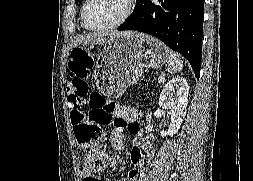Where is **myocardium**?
Here are the masks:
<instances>
[{"mask_svg": "<svg viewBox=\"0 0 253 181\" xmlns=\"http://www.w3.org/2000/svg\"><path fill=\"white\" fill-rule=\"evenodd\" d=\"M92 0H85L83 7H82V11H81V24L82 26L89 30V31H106V30H110V29H114L117 28L119 26H121L122 24H124L132 15L133 11H134V7H135V0H127V8L125 13L123 14V16L121 18H119L117 21L102 26V27H91L87 24L86 21V11L87 8L89 6V4L91 3Z\"/></svg>", "mask_w": 253, "mask_h": 181, "instance_id": "1", "label": "myocardium"}]
</instances>
